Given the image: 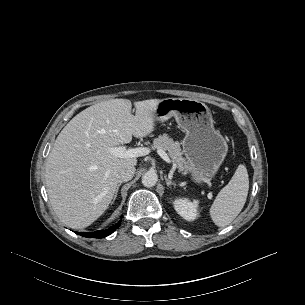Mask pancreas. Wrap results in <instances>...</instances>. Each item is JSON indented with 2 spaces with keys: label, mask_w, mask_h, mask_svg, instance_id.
<instances>
[{
  "label": "pancreas",
  "mask_w": 305,
  "mask_h": 305,
  "mask_svg": "<svg viewBox=\"0 0 305 305\" xmlns=\"http://www.w3.org/2000/svg\"><path fill=\"white\" fill-rule=\"evenodd\" d=\"M153 149L168 151V156L172 159L179 170L183 174L189 172V163L183 157V151L180 148V143L178 141H174L167 134H163L154 139Z\"/></svg>",
  "instance_id": "cf45deb5"
}]
</instances>
